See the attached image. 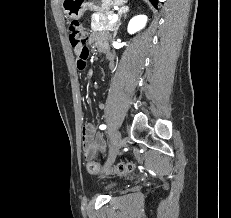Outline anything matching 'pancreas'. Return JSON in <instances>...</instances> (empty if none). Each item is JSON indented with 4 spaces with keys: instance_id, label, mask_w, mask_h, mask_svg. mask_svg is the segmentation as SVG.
I'll return each mask as SVG.
<instances>
[{
    "instance_id": "obj_1",
    "label": "pancreas",
    "mask_w": 231,
    "mask_h": 218,
    "mask_svg": "<svg viewBox=\"0 0 231 218\" xmlns=\"http://www.w3.org/2000/svg\"><path fill=\"white\" fill-rule=\"evenodd\" d=\"M113 16V12L99 13V21L95 19V16H92L91 28L93 31H112L116 28L117 22L106 25L108 21V16Z\"/></svg>"
}]
</instances>
